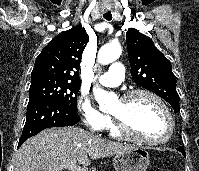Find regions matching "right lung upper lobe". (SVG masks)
I'll list each match as a JSON object with an SVG mask.
<instances>
[{"mask_svg": "<svg viewBox=\"0 0 199 171\" xmlns=\"http://www.w3.org/2000/svg\"><path fill=\"white\" fill-rule=\"evenodd\" d=\"M88 41V34L82 27L61 32L38 55L31 78L52 77L81 83L80 62Z\"/></svg>", "mask_w": 199, "mask_h": 171, "instance_id": "1", "label": "right lung upper lobe"}]
</instances>
